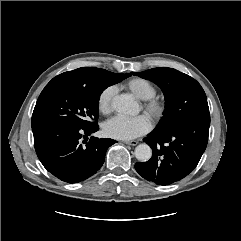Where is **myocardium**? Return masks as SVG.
<instances>
[{"instance_id": "f54148a6", "label": "myocardium", "mask_w": 241, "mask_h": 241, "mask_svg": "<svg viewBox=\"0 0 241 241\" xmlns=\"http://www.w3.org/2000/svg\"><path fill=\"white\" fill-rule=\"evenodd\" d=\"M143 107L145 112L154 121L161 119L165 112V102L155 96L144 100Z\"/></svg>"}]
</instances>
